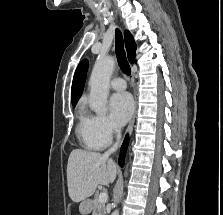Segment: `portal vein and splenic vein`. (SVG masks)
Returning <instances> with one entry per match:
<instances>
[{
  "label": "portal vein and splenic vein",
  "mask_w": 223,
  "mask_h": 215,
  "mask_svg": "<svg viewBox=\"0 0 223 215\" xmlns=\"http://www.w3.org/2000/svg\"><path fill=\"white\" fill-rule=\"evenodd\" d=\"M107 197H108L107 191H102V193H100L98 197V201H100V203H105V201H107Z\"/></svg>",
  "instance_id": "obj_1"
}]
</instances>
